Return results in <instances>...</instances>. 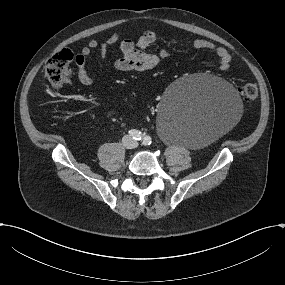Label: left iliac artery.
I'll return each instance as SVG.
<instances>
[{"instance_id": "44dca946", "label": "left iliac artery", "mask_w": 285, "mask_h": 285, "mask_svg": "<svg viewBox=\"0 0 285 285\" xmlns=\"http://www.w3.org/2000/svg\"><path fill=\"white\" fill-rule=\"evenodd\" d=\"M142 142L144 145H150L151 144V138L149 136H144L142 139Z\"/></svg>"}]
</instances>
